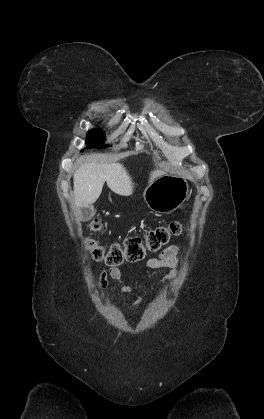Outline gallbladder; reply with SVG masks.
<instances>
[{"instance_id":"bac80fb5","label":"gallbladder","mask_w":264,"mask_h":419,"mask_svg":"<svg viewBox=\"0 0 264 419\" xmlns=\"http://www.w3.org/2000/svg\"><path fill=\"white\" fill-rule=\"evenodd\" d=\"M80 213L82 215V219L84 221H87L93 217L95 211L92 206H87V207L80 208Z\"/></svg>"}]
</instances>
